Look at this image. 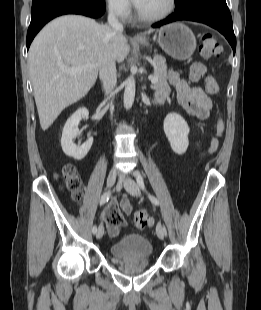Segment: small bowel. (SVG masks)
Masks as SVG:
<instances>
[{
    "mask_svg": "<svg viewBox=\"0 0 261 310\" xmlns=\"http://www.w3.org/2000/svg\"><path fill=\"white\" fill-rule=\"evenodd\" d=\"M169 82L175 87L177 91L178 102L190 115L201 120L207 119L209 117L212 108V102L201 87L190 86L175 72L169 73ZM167 95V84L163 83L158 85L156 89L157 99L164 100L166 99ZM197 145L199 146V143ZM216 147L217 141L215 139L211 140L209 145V152H214ZM119 206L124 214L130 215L132 213V206L128 199L124 198L120 200Z\"/></svg>",
    "mask_w": 261,
    "mask_h": 310,
    "instance_id": "1",
    "label": "small bowel"
}]
</instances>
